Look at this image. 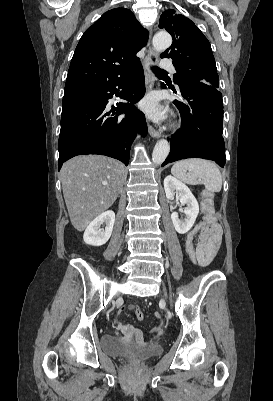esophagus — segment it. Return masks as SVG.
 Listing matches in <instances>:
<instances>
[{"mask_svg": "<svg viewBox=\"0 0 273 401\" xmlns=\"http://www.w3.org/2000/svg\"><path fill=\"white\" fill-rule=\"evenodd\" d=\"M152 38V33L150 35V40ZM157 62V54L156 52H154V50L149 47L146 59H145V65H144V70H145V82H146V91L150 92L153 89V85H154V81H155V76L152 73L150 67L151 65H154ZM148 131L150 133V135L153 138H160L161 137V133L157 130H155V128H153L152 125H150V123H148Z\"/></svg>", "mask_w": 273, "mask_h": 401, "instance_id": "obj_1", "label": "esophagus"}]
</instances>
